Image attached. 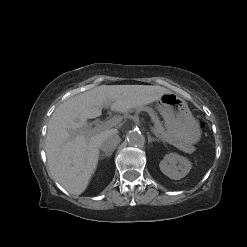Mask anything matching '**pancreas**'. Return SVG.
<instances>
[{"label": "pancreas", "instance_id": "cf45deb5", "mask_svg": "<svg viewBox=\"0 0 247 247\" xmlns=\"http://www.w3.org/2000/svg\"><path fill=\"white\" fill-rule=\"evenodd\" d=\"M145 111H147L149 113V115L152 118V122L154 123V129L157 132V136L165 142H168L170 144H173L174 146L184 150L187 153H192L193 152V148L189 147V146H185L180 142L175 141L171 135L165 130V128L162 126L161 122L159 121V119L156 117V115L154 114V112L152 111V109L150 108H143Z\"/></svg>", "mask_w": 247, "mask_h": 247}]
</instances>
